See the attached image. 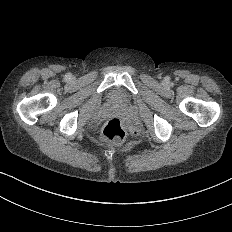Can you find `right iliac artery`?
<instances>
[{"label":"right iliac artery","mask_w":232,"mask_h":232,"mask_svg":"<svg viewBox=\"0 0 232 232\" xmlns=\"http://www.w3.org/2000/svg\"><path fill=\"white\" fill-rule=\"evenodd\" d=\"M71 77V74L70 73H67L66 74V78H70Z\"/></svg>","instance_id":"obj_1"}]
</instances>
